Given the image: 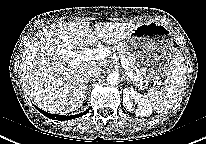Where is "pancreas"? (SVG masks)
I'll return each instance as SVG.
<instances>
[{
  "mask_svg": "<svg viewBox=\"0 0 206 144\" xmlns=\"http://www.w3.org/2000/svg\"><path fill=\"white\" fill-rule=\"evenodd\" d=\"M113 49L116 50L118 52V54L126 60V62L128 64V71L132 72L133 75L137 76L138 80H139L141 77L140 72L137 69V67L135 66L134 58L128 52L126 44L123 42H117L113 46Z\"/></svg>",
  "mask_w": 206,
  "mask_h": 144,
  "instance_id": "pancreas-1",
  "label": "pancreas"
}]
</instances>
